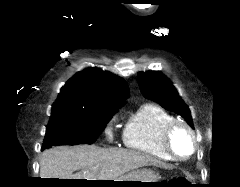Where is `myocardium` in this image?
Wrapping results in <instances>:
<instances>
[{
	"label": "myocardium",
	"mask_w": 240,
	"mask_h": 187,
	"mask_svg": "<svg viewBox=\"0 0 240 187\" xmlns=\"http://www.w3.org/2000/svg\"><path fill=\"white\" fill-rule=\"evenodd\" d=\"M178 132L185 133L190 142V152L187 154H181L179 153L174 145V138L175 135ZM163 145L166 149V151L175 159L178 161H186L190 159L197 151L198 145L196 141V136L193 131V129L184 121L180 120H173L170 122L164 129L163 132Z\"/></svg>",
	"instance_id": "myocardium-1"
}]
</instances>
